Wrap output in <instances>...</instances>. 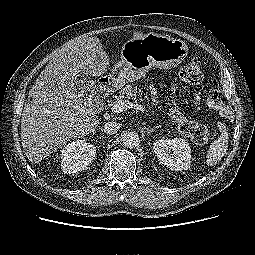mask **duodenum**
Segmentation results:
<instances>
[{
	"mask_svg": "<svg viewBox=\"0 0 255 255\" xmlns=\"http://www.w3.org/2000/svg\"><path fill=\"white\" fill-rule=\"evenodd\" d=\"M101 93H109L111 90V84L108 80H101L99 85Z\"/></svg>",
	"mask_w": 255,
	"mask_h": 255,
	"instance_id": "duodenum-1",
	"label": "duodenum"
}]
</instances>
